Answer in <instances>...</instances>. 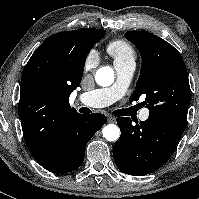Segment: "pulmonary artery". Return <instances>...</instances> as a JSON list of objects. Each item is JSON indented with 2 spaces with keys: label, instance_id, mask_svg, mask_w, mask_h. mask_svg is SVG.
Masks as SVG:
<instances>
[{
  "label": "pulmonary artery",
  "instance_id": "e3ab8cb5",
  "mask_svg": "<svg viewBox=\"0 0 199 199\" xmlns=\"http://www.w3.org/2000/svg\"><path fill=\"white\" fill-rule=\"evenodd\" d=\"M135 67V62L115 64L117 71L116 82L107 88L82 93L79 96V100L87 107H105L116 102L124 96L135 72ZM148 117V109H143L139 114V118L142 121L147 120Z\"/></svg>",
  "mask_w": 199,
  "mask_h": 199
}]
</instances>
